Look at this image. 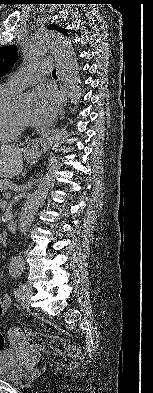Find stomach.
Masks as SVG:
<instances>
[{
	"label": "stomach",
	"instance_id": "0dacf381",
	"mask_svg": "<svg viewBox=\"0 0 153 393\" xmlns=\"http://www.w3.org/2000/svg\"><path fill=\"white\" fill-rule=\"evenodd\" d=\"M23 155H24L26 161L31 164L36 163L39 160V158L41 157L40 152L36 148H33V149L25 148Z\"/></svg>",
	"mask_w": 153,
	"mask_h": 393
}]
</instances>
